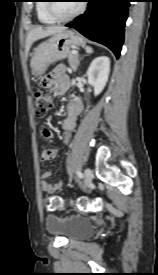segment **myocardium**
<instances>
[{
    "mask_svg": "<svg viewBox=\"0 0 158 275\" xmlns=\"http://www.w3.org/2000/svg\"><path fill=\"white\" fill-rule=\"evenodd\" d=\"M48 2H54V1L50 0ZM84 9H85V4L81 3L79 5V7L74 12H72L71 14H69L67 16H62L57 12L55 3L47 4V10H48L49 14L57 21L71 20V19L75 18L76 16H78L79 14H81L84 11Z\"/></svg>",
    "mask_w": 158,
    "mask_h": 275,
    "instance_id": "myocardium-1",
    "label": "myocardium"
}]
</instances>
